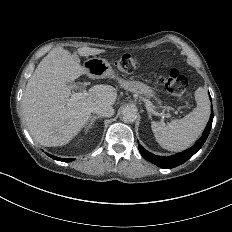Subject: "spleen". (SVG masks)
Wrapping results in <instances>:
<instances>
[{"instance_id": "obj_1", "label": "spleen", "mask_w": 232, "mask_h": 232, "mask_svg": "<svg viewBox=\"0 0 232 232\" xmlns=\"http://www.w3.org/2000/svg\"><path fill=\"white\" fill-rule=\"evenodd\" d=\"M197 107L179 120L168 124L152 122L151 128L159 145L169 151H182L191 147L201 136L210 116V101L206 89L195 91Z\"/></svg>"}]
</instances>
